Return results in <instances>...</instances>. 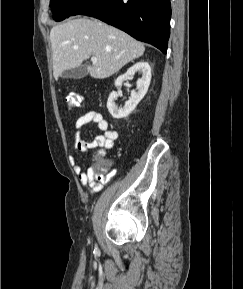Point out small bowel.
<instances>
[{
  "instance_id": "obj_1",
  "label": "small bowel",
  "mask_w": 243,
  "mask_h": 289,
  "mask_svg": "<svg viewBox=\"0 0 243 289\" xmlns=\"http://www.w3.org/2000/svg\"><path fill=\"white\" fill-rule=\"evenodd\" d=\"M95 123L100 134L96 135L91 141H85L82 138L83 129L89 124ZM76 134L74 138V148L76 151L87 153L91 149L98 148L95 154V160L98 157H104L106 150L113 147L114 141L117 139L118 134L115 130L109 128L108 121L98 111H88L81 115L74 123ZM74 170L79 177L82 186L89 189V192L96 193L103 189L104 185L111 179L112 172L107 175L99 172L96 167H88L83 170L80 165L76 164L75 159L72 158Z\"/></svg>"
}]
</instances>
